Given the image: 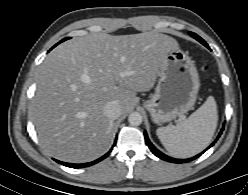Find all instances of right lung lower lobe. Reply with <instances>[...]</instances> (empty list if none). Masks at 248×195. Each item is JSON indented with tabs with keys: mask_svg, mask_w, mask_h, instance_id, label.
Instances as JSON below:
<instances>
[{
	"mask_svg": "<svg viewBox=\"0 0 248 195\" xmlns=\"http://www.w3.org/2000/svg\"><path fill=\"white\" fill-rule=\"evenodd\" d=\"M110 152H111V150L107 154H105L104 156L100 157L99 159H97L95 161H92V162L83 163V164L65 163V162H61V161H58V160H57V162L63 164L64 166L72 167V168L88 167V166L94 165V164L100 162L101 160H103L104 158H106L109 155Z\"/></svg>",
	"mask_w": 248,
	"mask_h": 195,
	"instance_id": "98d812e1",
	"label": "right lung lower lobe"
}]
</instances>
